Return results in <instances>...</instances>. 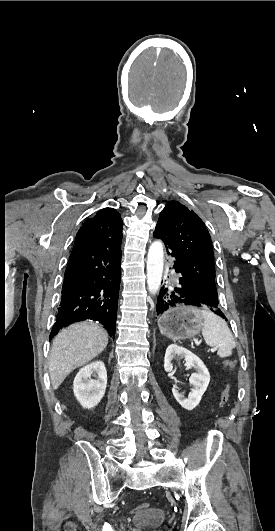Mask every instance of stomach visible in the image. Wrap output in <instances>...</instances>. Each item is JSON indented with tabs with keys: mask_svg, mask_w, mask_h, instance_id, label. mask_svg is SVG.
Returning <instances> with one entry per match:
<instances>
[{
	"mask_svg": "<svg viewBox=\"0 0 275 531\" xmlns=\"http://www.w3.org/2000/svg\"><path fill=\"white\" fill-rule=\"evenodd\" d=\"M158 327L168 339H193L203 327V317L192 301H181L177 309H169L159 317Z\"/></svg>",
	"mask_w": 275,
	"mask_h": 531,
	"instance_id": "stomach-1",
	"label": "stomach"
}]
</instances>
